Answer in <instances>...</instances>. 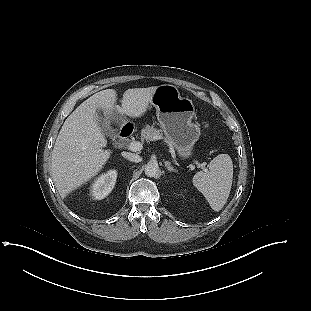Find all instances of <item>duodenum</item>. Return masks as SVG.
Segmentation results:
<instances>
[{
	"label": "duodenum",
	"mask_w": 311,
	"mask_h": 311,
	"mask_svg": "<svg viewBox=\"0 0 311 311\" xmlns=\"http://www.w3.org/2000/svg\"><path fill=\"white\" fill-rule=\"evenodd\" d=\"M131 134V129L129 127H122L119 132L120 141H125Z\"/></svg>",
	"instance_id": "obj_1"
}]
</instances>
